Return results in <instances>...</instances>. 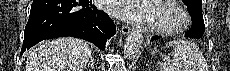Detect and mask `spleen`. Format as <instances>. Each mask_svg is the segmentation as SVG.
<instances>
[{
    "instance_id": "obj_1",
    "label": "spleen",
    "mask_w": 230,
    "mask_h": 71,
    "mask_svg": "<svg viewBox=\"0 0 230 71\" xmlns=\"http://www.w3.org/2000/svg\"><path fill=\"white\" fill-rule=\"evenodd\" d=\"M167 47H173V58L160 63V71H207L205 58L194 43L174 40L168 42Z\"/></svg>"
}]
</instances>
